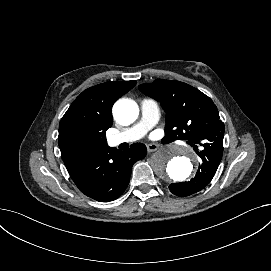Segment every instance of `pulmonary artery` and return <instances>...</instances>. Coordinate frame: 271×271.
Returning <instances> with one entry per match:
<instances>
[{"label":"pulmonary artery","instance_id":"obj_1","mask_svg":"<svg viewBox=\"0 0 271 271\" xmlns=\"http://www.w3.org/2000/svg\"><path fill=\"white\" fill-rule=\"evenodd\" d=\"M141 119L132 127L115 132L107 136V144L109 147H115L122 143H133L143 138L146 133L157 123L160 117L158 103L152 99H143L140 102ZM196 153H200L202 148L196 146Z\"/></svg>","mask_w":271,"mask_h":271}]
</instances>
